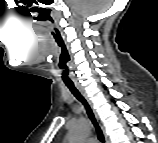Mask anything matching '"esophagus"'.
<instances>
[{"mask_svg":"<svg viewBox=\"0 0 158 143\" xmlns=\"http://www.w3.org/2000/svg\"><path fill=\"white\" fill-rule=\"evenodd\" d=\"M76 88L80 92L82 97L86 100V102L88 103L89 107L91 108V110H92V112H93V114L95 116V119L98 122V124H99V126H100V128H101V130L103 132L104 140L107 143L108 142V137H107V135L105 133L104 126H103L102 122L100 121L99 115L97 114L96 110L94 109L92 102L90 101V99L88 98V96L86 95L85 91L83 90V88L80 85H76Z\"/></svg>","mask_w":158,"mask_h":143,"instance_id":"obj_1","label":"esophagus"}]
</instances>
